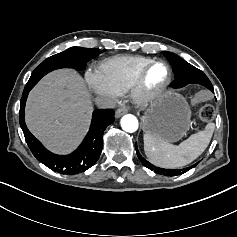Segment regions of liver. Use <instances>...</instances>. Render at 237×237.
<instances>
[{
	"label": "liver",
	"instance_id": "6515ba94",
	"mask_svg": "<svg viewBox=\"0 0 237 237\" xmlns=\"http://www.w3.org/2000/svg\"><path fill=\"white\" fill-rule=\"evenodd\" d=\"M93 104L84 79L74 70H55L30 91L25 121L50 151L72 152L86 134Z\"/></svg>",
	"mask_w": 237,
	"mask_h": 237
}]
</instances>
